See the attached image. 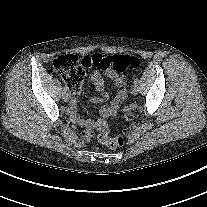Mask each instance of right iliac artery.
Masks as SVG:
<instances>
[{"mask_svg": "<svg viewBox=\"0 0 207 207\" xmlns=\"http://www.w3.org/2000/svg\"><path fill=\"white\" fill-rule=\"evenodd\" d=\"M66 91H67L66 88H63L62 93H65Z\"/></svg>", "mask_w": 207, "mask_h": 207, "instance_id": "right-iliac-artery-1", "label": "right iliac artery"}]
</instances>
